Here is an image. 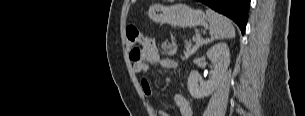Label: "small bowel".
<instances>
[{
    "instance_id": "small-bowel-1",
    "label": "small bowel",
    "mask_w": 305,
    "mask_h": 116,
    "mask_svg": "<svg viewBox=\"0 0 305 116\" xmlns=\"http://www.w3.org/2000/svg\"><path fill=\"white\" fill-rule=\"evenodd\" d=\"M133 63V69L136 73H145L150 66H159L162 68H176L177 63L171 59L161 58L155 43L149 38V42L143 44L142 49H138V56H130ZM142 89L144 94L152 99H156L154 91L150 83L144 78L142 80ZM173 102L178 110L179 116H192V108L188 99L181 95L176 94L173 97ZM160 116H171L172 114L165 108H159L157 111Z\"/></svg>"
}]
</instances>
